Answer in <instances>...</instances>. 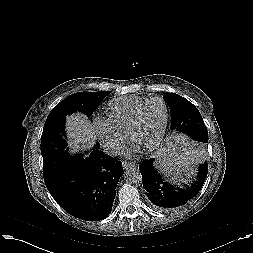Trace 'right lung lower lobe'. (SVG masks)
Returning <instances> with one entry per match:
<instances>
[{
  "label": "right lung lower lobe",
  "mask_w": 253,
  "mask_h": 253,
  "mask_svg": "<svg viewBox=\"0 0 253 253\" xmlns=\"http://www.w3.org/2000/svg\"><path fill=\"white\" fill-rule=\"evenodd\" d=\"M122 163L99 150L43 166L46 187L56 202L72 216L99 221L112 210Z\"/></svg>",
  "instance_id": "1"
}]
</instances>
